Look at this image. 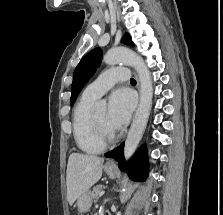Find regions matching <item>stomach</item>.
<instances>
[{
    "label": "stomach",
    "instance_id": "stomach-1",
    "mask_svg": "<svg viewBox=\"0 0 223 215\" xmlns=\"http://www.w3.org/2000/svg\"><path fill=\"white\" fill-rule=\"evenodd\" d=\"M104 171L105 173H107V175H109V177H112L113 179V177H115L117 173V167H111V165H104ZM88 196L89 194L87 193V191L79 195L77 207L78 209H80V211H88L89 207H91L92 202L90 201V198Z\"/></svg>",
    "mask_w": 223,
    "mask_h": 215
}]
</instances>
